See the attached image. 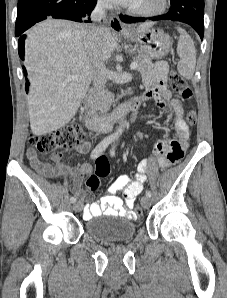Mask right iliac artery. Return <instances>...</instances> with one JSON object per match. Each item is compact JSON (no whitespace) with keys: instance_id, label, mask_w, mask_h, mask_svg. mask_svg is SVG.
<instances>
[{"instance_id":"1","label":"right iliac artery","mask_w":227,"mask_h":298,"mask_svg":"<svg viewBox=\"0 0 227 298\" xmlns=\"http://www.w3.org/2000/svg\"><path fill=\"white\" fill-rule=\"evenodd\" d=\"M113 141L112 137H106L104 138L92 151L91 158L95 159L99 157L103 151L108 147V145ZM70 201L74 203L76 201V197L72 196L70 198Z\"/></svg>"}]
</instances>
